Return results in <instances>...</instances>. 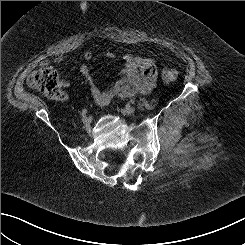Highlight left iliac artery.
<instances>
[{
	"instance_id": "obj_1",
	"label": "left iliac artery",
	"mask_w": 245,
	"mask_h": 245,
	"mask_svg": "<svg viewBox=\"0 0 245 245\" xmlns=\"http://www.w3.org/2000/svg\"><path fill=\"white\" fill-rule=\"evenodd\" d=\"M135 102H136L135 99H130V100H129V103H131V104H135Z\"/></svg>"
}]
</instances>
